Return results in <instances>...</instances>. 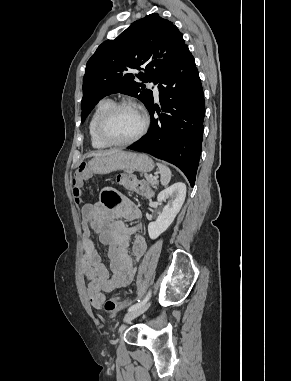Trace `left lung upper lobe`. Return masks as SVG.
<instances>
[{"label":"left lung upper lobe","instance_id":"left-lung-upper-lobe-1","mask_svg":"<svg viewBox=\"0 0 291 381\" xmlns=\"http://www.w3.org/2000/svg\"><path fill=\"white\" fill-rule=\"evenodd\" d=\"M187 48L177 27L157 13L135 21L116 39L103 42L86 66L82 121L99 100L113 93L136 97L148 107L153 93L136 77L158 83ZM134 69L144 73L134 75Z\"/></svg>","mask_w":291,"mask_h":381}]
</instances>
